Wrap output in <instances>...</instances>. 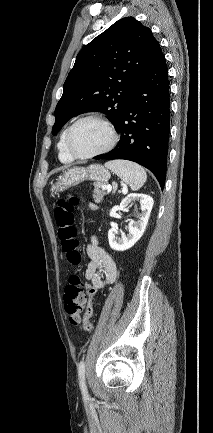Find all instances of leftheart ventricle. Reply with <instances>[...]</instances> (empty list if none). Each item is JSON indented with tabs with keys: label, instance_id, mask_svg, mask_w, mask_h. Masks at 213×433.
Listing matches in <instances>:
<instances>
[{
	"label": "left heart ventricle",
	"instance_id": "left-heart-ventricle-1",
	"mask_svg": "<svg viewBox=\"0 0 213 433\" xmlns=\"http://www.w3.org/2000/svg\"><path fill=\"white\" fill-rule=\"evenodd\" d=\"M109 138L104 125L95 120H86L74 129L71 143L76 153L87 155L105 147Z\"/></svg>",
	"mask_w": 213,
	"mask_h": 433
}]
</instances>
